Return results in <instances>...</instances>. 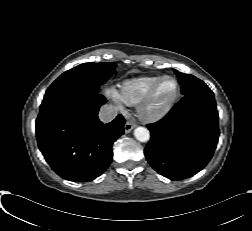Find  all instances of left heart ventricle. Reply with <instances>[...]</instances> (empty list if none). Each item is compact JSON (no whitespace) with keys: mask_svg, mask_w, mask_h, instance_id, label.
Listing matches in <instances>:
<instances>
[{"mask_svg":"<svg viewBox=\"0 0 252 231\" xmlns=\"http://www.w3.org/2000/svg\"><path fill=\"white\" fill-rule=\"evenodd\" d=\"M174 91H175L174 82L170 79L164 80L161 83V85H160V87L154 97V100L152 103L153 107L154 108L163 107L170 100V98L173 96Z\"/></svg>","mask_w":252,"mask_h":231,"instance_id":"obj_1","label":"left heart ventricle"}]
</instances>
